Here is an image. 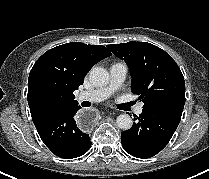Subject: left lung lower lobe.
<instances>
[{
  "instance_id": "obj_1",
  "label": "left lung lower lobe",
  "mask_w": 209,
  "mask_h": 179,
  "mask_svg": "<svg viewBox=\"0 0 209 179\" xmlns=\"http://www.w3.org/2000/svg\"><path fill=\"white\" fill-rule=\"evenodd\" d=\"M181 111L143 109L131 129L121 133L123 148L137 158H150L170 141L181 120Z\"/></svg>"
}]
</instances>
